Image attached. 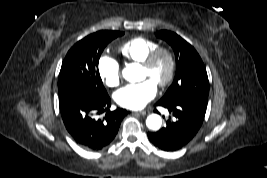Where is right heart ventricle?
I'll return each instance as SVG.
<instances>
[{"mask_svg":"<svg viewBox=\"0 0 267 178\" xmlns=\"http://www.w3.org/2000/svg\"><path fill=\"white\" fill-rule=\"evenodd\" d=\"M158 43L144 36H135L119 47V53L128 61L140 63Z\"/></svg>","mask_w":267,"mask_h":178,"instance_id":"e07e8e85","label":"right heart ventricle"}]
</instances>
